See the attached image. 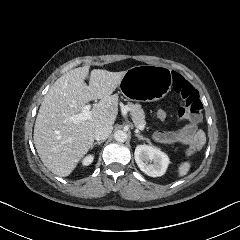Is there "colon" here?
Returning a JSON list of instances; mask_svg holds the SVG:
<instances>
[{"instance_id": "5ec220e1", "label": "colon", "mask_w": 240, "mask_h": 240, "mask_svg": "<svg viewBox=\"0 0 240 240\" xmlns=\"http://www.w3.org/2000/svg\"><path fill=\"white\" fill-rule=\"evenodd\" d=\"M179 93L183 101H188V118L194 123H198L201 120V111L203 109L198 91L189 82H186ZM157 118L164 120L167 118V113L160 110L157 112ZM195 148H202L201 132H198L197 136H194L193 140L190 141V152H195ZM190 152L186 153L187 157L191 156Z\"/></svg>"}]
</instances>
